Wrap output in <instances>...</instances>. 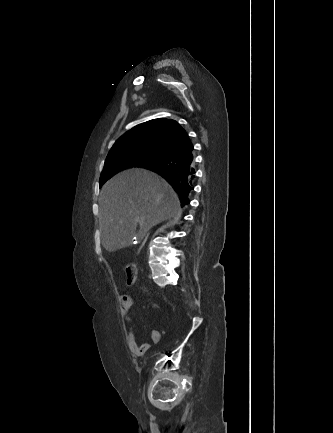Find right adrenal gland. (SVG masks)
<instances>
[{"mask_svg":"<svg viewBox=\"0 0 333 433\" xmlns=\"http://www.w3.org/2000/svg\"><path fill=\"white\" fill-rule=\"evenodd\" d=\"M146 240H147V237L145 238L144 243H145Z\"/></svg>","mask_w":333,"mask_h":433,"instance_id":"2a0ac1e0","label":"right adrenal gland"}]
</instances>
